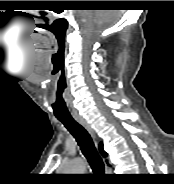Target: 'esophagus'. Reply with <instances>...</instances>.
Wrapping results in <instances>:
<instances>
[{"label": "esophagus", "instance_id": "34e87169", "mask_svg": "<svg viewBox=\"0 0 174 184\" xmlns=\"http://www.w3.org/2000/svg\"><path fill=\"white\" fill-rule=\"evenodd\" d=\"M75 120H76L79 124H81V125L88 131V133L92 136V138H93L94 140H96V136H95V133H94L93 129L90 127V125L86 122V120H85L83 117H81V116H76V117H75ZM96 142H97V141H96Z\"/></svg>", "mask_w": 174, "mask_h": 184}]
</instances>
